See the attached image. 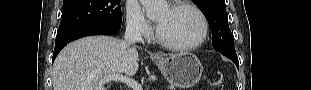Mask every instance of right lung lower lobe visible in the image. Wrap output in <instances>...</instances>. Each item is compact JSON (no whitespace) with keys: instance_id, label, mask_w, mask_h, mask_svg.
Listing matches in <instances>:
<instances>
[{"instance_id":"obj_1","label":"right lung lower lobe","mask_w":311,"mask_h":90,"mask_svg":"<svg viewBox=\"0 0 311 90\" xmlns=\"http://www.w3.org/2000/svg\"><path fill=\"white\" fill-rule=\"evenodd\" d=\"M120 30V25H87L72 29L62 34H57L53 62L60 50L69 42L90 35H111Z\"/></svg>"}]
</instances>
